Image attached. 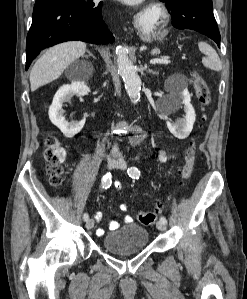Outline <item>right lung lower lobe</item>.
Listing matches in <instances>:
<instances>
[{"instance_id": "obj_1", "label": "right lung lower lobe", "mask_w": 247, "mask_h": 299, "mask_svg": "<svg viewBox=\"0 0 247 299\" xmlns=\"http://www.w3.org/2000/svg\"><path fill=\"white\" fill-rule=\"evenodd\" d=\"M102 4L52 0L35 8L26 41V70L42 49L61 42L113 43L115 39L102 19Z\"/></svg>"}]
</instances>
